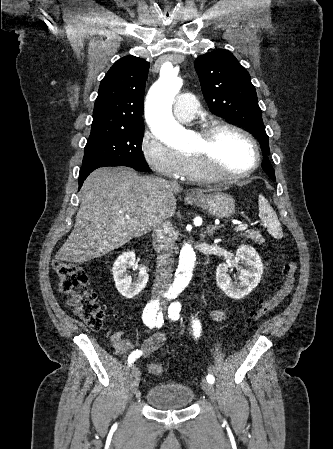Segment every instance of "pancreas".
Segmentation results:
<instances>
[{"label": "pancreas", "mask_w": 333, "mask_h": 449, "mask_svg": "<svg viewBox=\"0 0 333 449\" xmlns=\"http://www.w3.org/2000/svg\"><path fill=\"white\" fill-rule=\"evenodd\" d=\"M243 236H246L249 239H252L258 244H262L264 242V239L262 238L260 232L258 230H248L245 233H243Z\"/></svg>", "instance_id": "obj_1"}]
</instances>
